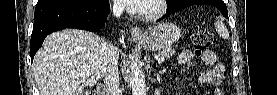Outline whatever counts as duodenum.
<instances>
[{
	"label": "duodenum",
	"mask_w": 277,
	"mask_h": 95,
	"mask_svg": "<svg viewBox=\"0 0 277 95\" xmlns=\"http://www.w3.org/2000/svg\"><path fill=\"white\" fill-rule=\"evenodd\" d=\"M97 94L106 95V89L104 85H99L97 87Z\"/></svg>",
	"instance_id": "obj_1"
}]
</instances>
